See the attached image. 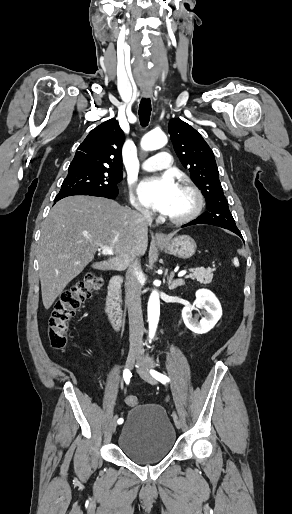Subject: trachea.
Returning <instances> with one entry per match:
<instances>
[{
	"mask_svg": "<svg viewBox=\"0 0 292 514\" xmlns=\"http://www.w3.org/2000/svg\"><path fill=\"white\" fill-rule=\"evenodd\" d=\"M152 111L150 98H142L139 105V120L142 127H147Z\"/></svg>",
	"mask_w": 292,
	"mask_h": 514,
	"instance_id": "1",
	"label": "trachea"
}]
</instances>
